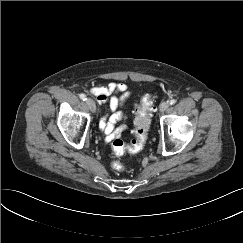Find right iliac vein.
<instances>
[{"instance_id":"obj_1","label":"right iliac vein","mask_w":243,"mask_h":243,"mask_svg":"<svg viewBox=\"0 0 243 243\" xmlns=\"http://www.w3.org/2000/svg\"><path fill=\"white\" fill-rule=\"evenodd\" d=\"M86 103H87L89 109H90L92 112H95V111H96V105H95V102H94L91 98H87V99H86Z\"/></svg>"}]
</instances>
